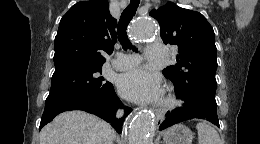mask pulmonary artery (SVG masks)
Here are the masks:
<instances>
[{
    "label": "pulmonary artery",
    "instance_id": "1",
    "mask_svg": "<svg viewBox=\"0 0 260 144\" xmlns=\"http://www.w3.org/2000/svg\"><path fill=\"white\" fill-rule=\"evenodd\" d=\"M166 57V48L152 44L146 48V60L149 62L162 61ZM141 61V57L137 54H120L114 63V67L118 70H128L136 67Z\"/></svg>",
    "mask_w": 260,
    "mask_h": 144
}]
</instances>
